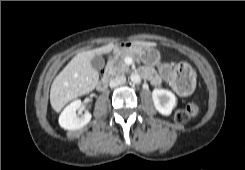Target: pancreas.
<instances>
[{
  "label": "pancreas",
  "instance_id": "obj_1",
  "mask_svg": "<svg viewBox=\"0 0 245 170\" xmlns=\"http://www.w3.org/2000/svg\"><path fill=\"white\" fill-rule=\"evenodd\" d=\"M126 57H133L134 55L127 51L118 52L114 57L112 64L110 66V74L112 76L124 75L129 71V66L125 63Z\"/></svg>",
  "mask_w": 245,
  "mask_h": 170
}]
</instances>
